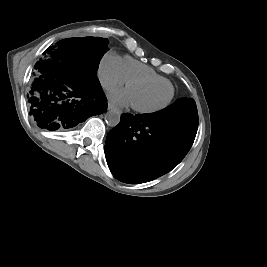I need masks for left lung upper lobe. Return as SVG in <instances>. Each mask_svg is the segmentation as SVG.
Returning <instances> with one entry per match:
<instances>
[{"label":"left lung upper lobe","mask_w":267,"mask_h":267,"mask_svg":"<svg viewBox=\"0 0 267 267\" xmlns=\"http://www.w3.org/2000/svg\"><path fill=\"white\" fill-rule=\"evenodd\" d=\"M153 114H173L198 119L196 103L193 99L188 98H180L172 105Z\"/></svg>","instance_id":"1"}]
</instances>
